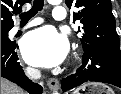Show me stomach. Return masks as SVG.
<instances>
[{
	"label": "stomach",
	"mask_w": 121,
	"mask_h": 94,
	"mask_svg": "<svg viewBox=\"0 0 121 94\" xmlns=\"http://www.w3.org/2000/svg\"><path fill=\"white\" fill-rule=\"evenodd\" d=\"M72 94H115L114 91L102 83H86L77 88Z\"/></svg>",
	"instance_id": "0dacf381"
}]
</instances>
